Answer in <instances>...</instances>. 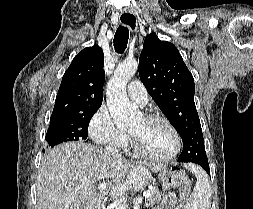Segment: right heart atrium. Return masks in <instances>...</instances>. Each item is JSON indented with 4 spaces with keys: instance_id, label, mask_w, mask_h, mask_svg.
<instances>
[{
    "instance_id": "obj_1",
    "label": "right heart atrium",
    "mask_w": 253,
    "mask_h": 209,
    "mask_svg": "<svg viewBox=\"0 0 253 209\" xmlns=\"http://www.w3.org/2000/svg\"><path fill=\"white\" fill-rule=\"evenodd\" d=\"M89 134L101 146L123 147L128 142V135L116 126L105 107H100L90 120Z\"/></svg>"
}]
</instances>
